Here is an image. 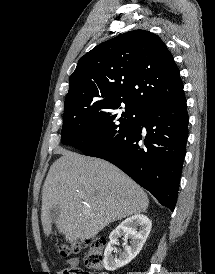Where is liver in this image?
Wrapping results in <instances>:
<instances>
[{"label": "liver", "instance_id": "obj_1", "mask_svg": "<svg viewBox=\"0 0 215 274\" xmlns=\"http://www.w3.org/2000/svg\"><path fill=\"white\" fill-rule=\"evenodd\" d=\"M42 189L41 221L52 233L49 210L60 208L55 222L66 241L96 236L108 224L146 211L143 189L113 164L61 149Z\"/></svg>", "mask_w": 215, "mask_h": 274}]
</instances>
